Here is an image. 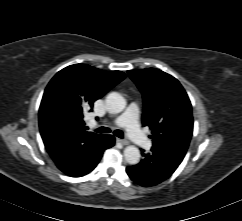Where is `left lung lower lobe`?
<instances>
[{"instance_id":"left-lung-lower-lobe-1","label":"left lung lower lobe","mask_w":242,"mask_h":221,"mask_svg":"<svg viewBox=\"0 0 242 221\" xmlns=\"http://www.w3.org/2000/svg\"><path fill=\"white\" fill-rule=\"evenodd\" d=\"M143 159L140 163L126 168L129 177L137 184L150 187L170 177L182 162L161 149L152 147L149 153L142 150Z\"/></svg>"}]
</instances>
